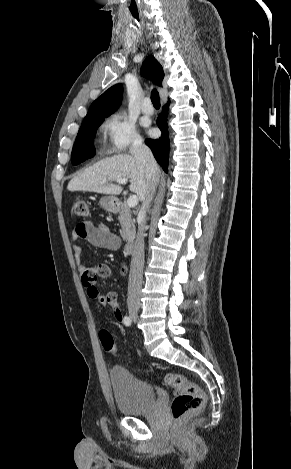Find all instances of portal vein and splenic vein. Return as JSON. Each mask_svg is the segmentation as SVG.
<instances>
[{
    "mask_svg": "<svg viewBox=\"0 0 291 469\" xmlns=\"http://www.w3.org/2000/svg\"><path fill=\"white\" fill-rule=\"evenodd\" d=\"M127 179L126 178H120V179H117L116 182L119 183V184H126L127 183ZM138 197L136 195H131L128 200H127V206L130 207V208H133V207H136L138 205Z\"/></svg>",
    "mask_w": 291,
    "mask_h": 469,
    "instance_id": "1",
    "label": "portal vein and splenic vein"
}]
</instances>
